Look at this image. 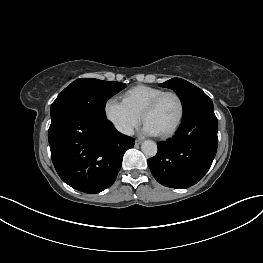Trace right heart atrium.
Wrapping results in <instances>:
<instances>
[{
  "mask_svg": "<svg viewBox=\"0 0 263 263\" xmlns=\"http://www.w3.org/2000/svg\"><path fill=\"white\" fill-rule=\"evenodd\" d=\"M104 114L111 125L121 134L130 135L141 122V115L132 111L124 101L109 98L104 104Z\"/></svg>",
  "mask_w": 263,
  "mask_h": 263,
  "instance_id": "1",
  "label": "right heart atrium"
}]
</instances>
